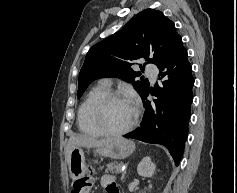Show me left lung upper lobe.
I'll return each mask as SVG.
<instances>
[{
	"label": "left lung upper lobe",
	"instance_id": "left-lung-upper-lobe-1",
	"mask_svg": "<svg viewBox=\"0 0 237 193\" xmlns=\"http://www.w3.org/2000/svg\"><path fill=\"white\" fill-rule=\"evenodd\" d=\"M180 38L174 23L162 12L143 10L122 30L90 48L79 74L78 98L93 80L101 77H118L131 82L142 97L149 82L135 80L140 73L131 65L142 57L147 63L158 65Z\"/></svg>",
	"mask_w": 237,
	"mask_h": 193
}]
</instances>
